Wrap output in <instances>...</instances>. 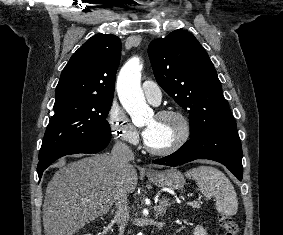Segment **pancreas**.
Masks as SVG:
<instances>
[{
    "label": "pancreas",
    "mask_w": 283,
    "mask_h": 235,
    "mask_svg": "<svg viewBox=\"0 0 283 235\" xmlns=\"http://www.w3.org/2000/svg\"><path fill=\"white\" fill-rule=\"evenodd\" d=\"M191 206H192V208H199L200 207V205L197 204V203L191 204Z\"/></svg>",
    "instance_id": "1"
}]
</instances>
